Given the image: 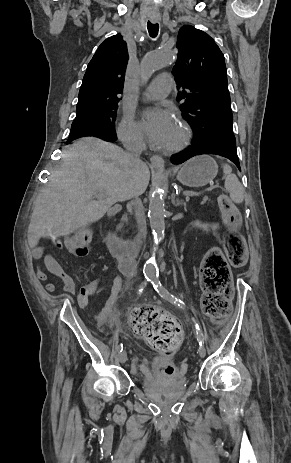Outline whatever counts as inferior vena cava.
I'll return each instance as SVG.
<instances>
[{
  "mask_svg": "<svg viewBox=\"0 0 291 463\" xmlns=\"http://www.w3.org/2000/svg\"><path fill=\"white\" fill-rule=\"evenodd\" d=\"M123 146L126 148V156L128 161L132 165H138L141 163L140 154L146 149V144L143 137L139 133H132L122 139ZM129 199H132L131 204L133 206L137 227H138V238L145 239L146 237V223L143 216V205L138 193L131 192Z\"/></svg>",
  "mask_w": 291,
  "mask_h": 463,
  "instance_id": "602c4592",
  "label": "inferior vena cava"
}]
</instances>
